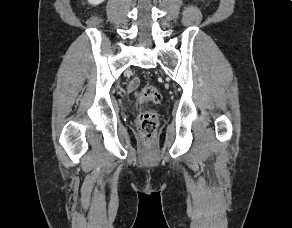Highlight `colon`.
Returning <instances> with one entry per match:
<instances>
[{"instance_id":"1","label":"colon","mask_w":292,"mask_h":228,"mask_svg":"<svg viewBox=\"0 0 292 228\" xmlns=\"http://www.w3.org/2000/svg\"><path fill=\"white\" fill-rule=\"evenodd\" d=\"M140 102L159 104L162 100L160 92L154 86H145L136 92ZM141 135L146 143H151L158 128V116L152 110L144 111L138 116Z\"/></svg>"}]
</instances>
